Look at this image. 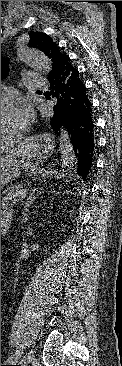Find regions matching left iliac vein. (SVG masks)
<instances>
[{
  "instance_id": "4c4485c4",
  "label": "left iliac vein",
  "mask_w": 122,
  "mask_h": 366,
  "mask_svg": "<svg viewBox=\"0 0 122 366\" xmlns=\"http://www.w3.org/2000/svg\"><path fill=\"white\" fill-rule=\"evenodd\" d=\"M22 349L23 348H18L17 350H16V352H15V354L13 355V356H11V358L13 359V360H18V359H20L21 358V354H22ZM32 353H33V350H31L30 352H28L24 357H23V363H24V366H26V365H28L31 361H32V359H33V357H32Z\"/></svg>"
}]
</instances>
